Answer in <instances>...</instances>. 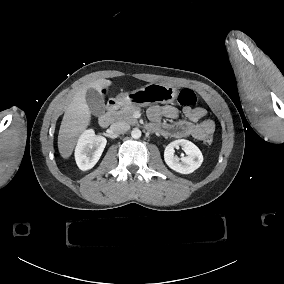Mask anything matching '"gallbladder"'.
Listing matches in <instances>:
<instances>
[{"label":"gallbladder","mask_w":284,"mask_h":284,"mask_svg":"<svg viewBox=\"0 0 284 284\" xmlns=\"http://www.w3.org/2000/svg\"><path fill=\"white\" fill-rule=\"evenodd\" d=\"M87 104L90 112L95 116L105 113V103L102 95L93 88H89L86 95Z\"/></svg>","instance_id":"gallbladder-1"}]
</instances>
